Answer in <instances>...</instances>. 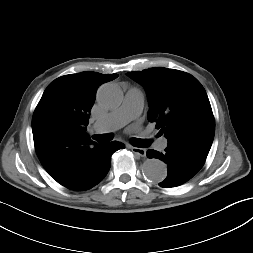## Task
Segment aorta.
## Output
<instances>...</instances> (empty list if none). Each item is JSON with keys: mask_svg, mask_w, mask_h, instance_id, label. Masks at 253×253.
I'll return each instance as SVG.
<instances>
[{"mask_svg": "<svg viewBox=\"0 0 253 253\" xmlns=\"http://www.w3.org/2000/svg\"><path fill=\"white\" fill-rule=\"evenodd\" d=\"M123 100L121 89L112 83L102 85L97 92V101L106 109L118 107ZM143 174L152 182H162L167 176L166 164L156 158L147 159L142 165Z\"/></svg>", "mask_w": 253, "mask_h": 253, "instance_id": "aorta-1", "label": "aorta"}]
</instances>
